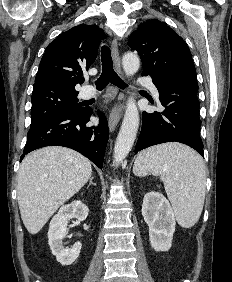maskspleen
I'll return each instance as SVG.
<instances>
[{
    "mask_svg": "<svg viewBox=\"0 0 232 282\" xmlns=\"http://www.w3.org/2000/svg\"><path fill=\"white\" fill-rule=\"evenodd\" d=\"M133 172L160 176L179 225L197 223L205 200L206 167L194 150L177 143L148 148L137 156Z\"/></svg>",
    "mask_w": 232,
    "mask_h": 282,
    "instance_id": "3e777b00",
    "label": "spleen"
}]
</instances>
